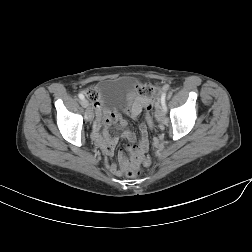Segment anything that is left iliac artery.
Wrapping results in <instances>:
<instances>
[{
  "mask_svg": "<svg viewBox=\"0 0 252 252\" xmlns=\"http://www.w3.org/2000/svg\"><path fill=\"white\" fill-rule=\"evenodd\" d=\"M165 99H166V93H163V94L161 95V104H162L164 110L166 111L167 108H166Z\"/></svg>",
  "mask_w": 252,
  "mask_h": 252,
  "instance_id": "obj_1",
  "label": "left iliac artery"
}]
</instances>
